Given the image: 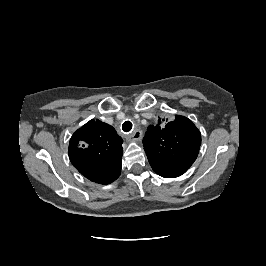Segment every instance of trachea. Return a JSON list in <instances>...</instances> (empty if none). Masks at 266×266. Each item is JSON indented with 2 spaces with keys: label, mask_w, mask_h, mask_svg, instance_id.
Wrapping results in <instances>:
<instances>
[{
  "label": "trachea",
  "mask_w": 266,
  "mask_h": 266,
  "mask_svg": "<svg viewBox=\"0 0 266 266\" xmlns=\"http://www.w3.org/2000/svg\"><path fill=\"white\" fill-rule=\"evenodd\" d=\"M122 129L123 131L125 132H129L131 129H132V123L130 121H125L123 124H122Z\"/></svg>",
  "instance_id": "obj_1"
}]
</instances>
